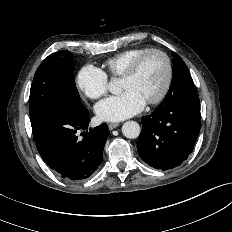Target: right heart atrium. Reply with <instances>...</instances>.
Wrapping results in <instances>:
<instances>
[{
	"label": "right heart atrium",
	"instance_id": "obj_1",
	"mask_svg": "<svg viewBox=\"0 0 232 232\" xmlns=\"http://www.w3.org/2000/svg\"><path fill=\"white\" fill-rule=\"evenodd\" d=\"M79 91L89 99H98L108 90V77L104 71L93 66H83L76 77Z\"/></svg>",
	"mask_w": 232,
	"mask_h": 232
}]
</instances>
